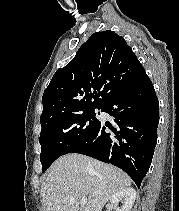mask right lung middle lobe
I'll return each instance as SVG.
<instances>
[{
	"label": "right lung middle lobe",
	"mask_w": 179,
	"mask_h": 211,
	"mask_svg": "<svg viewBox=\"0 0 179 211\" xmlns=\"http://www.w3.org/2000/svg\"><path fill=\"white\" fill-rule=\"evenodd\" d=\"M95 109L58 117L42 128L39 142L42 147L40 161L43 172L57 158L71 153L89 140L101 123L96 117Z\"/></svg>",
	"instance_id": "1"
}]
</instances>
